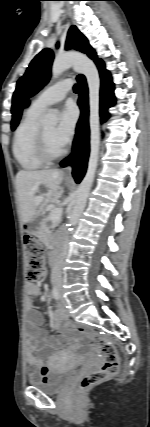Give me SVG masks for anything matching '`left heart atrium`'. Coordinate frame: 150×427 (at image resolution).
Wrapping results in <instances>:
<instances>
[{
    "label": "left heart atrium",
    "mask_w": 150,
    "mask_h": 427,
    "mask_svg": "<svg viewBox=\"0 0 150 427\" xmlns=\"http://www.w3.org/2000/svg\"><path fill=\"white\" fill-rule=\"evenodd\" d=\"M77 123V115L71 106H67L60 114L55 130V140L59 146L65 147L73 138Z\"/></svg>",
    "instance_id": "39dd6f15"
}]
</instances>
